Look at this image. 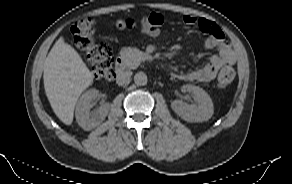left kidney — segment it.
I'll use <instances>...</instances> for the list:
<instances>
[{
  "instance_id": "left-kidney-1",
  "label": "left kidney",
  "mask_w": 292,
  "mask_h": 184,
  "mask_svg": "<svg viewBox=\"0 0 292 184\" xmlns=\"http://www.w3.org/2000/svg\"><path fill=\"white\" fill-rule=\"evenodd\" d=\"M184 88L192 95L196 104L189 105L180 100H174L171 103L173 111L188 122H202L209 120L214 112L210 96L198 86L186 85Z\"/></svg>"
}]
</instances>
